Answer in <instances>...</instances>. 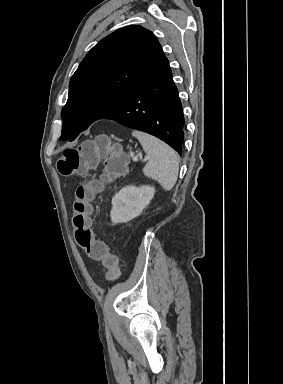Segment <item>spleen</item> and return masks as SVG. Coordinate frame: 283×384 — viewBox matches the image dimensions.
Listing matches in <instances>:
<instances>
[{
	"label": "spleen",
	"mask_w": 283,
	"mask_h": 384,
	"mask_svg": "<svg viewBox=\"0 0 283 384\" xmlns=\"http://www.w3.org/2000/svg\"><path fill=\"white\" fill-rule=\"evenodd\" d=\"M132 136L139 140L149 158L145 168H143L145 176L156 180L163 190H172L177 182L179 172L176 152L158 138L144 134V132H136L135 130L132 132Z\"/></svg>",
	"instance_id": "spleen-1"
}]
</instances>
